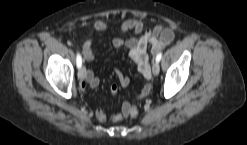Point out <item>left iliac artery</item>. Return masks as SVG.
<instances>
[{
    "label": "left iliac artery",
    "mask_w": 247,
    "mask_h": 145,
    "mask_svg": "<svg viewBox=\"0 0 247 145\" xmlns=\"http://www.w3.org/2000/svg\"><path fill=\"white\" fill-rule=\"evenodd\" d=\"M162 58V53H158L157 56H156V62H159Z\"/></svg>",
    "instance_id": "44dca946"
}]
</instances>
